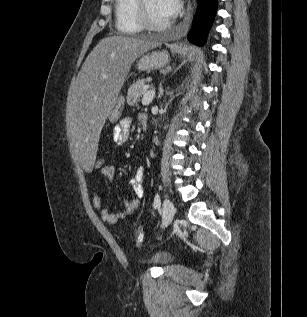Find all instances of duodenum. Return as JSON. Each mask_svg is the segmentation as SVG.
I'll list each match as a JSON object with an SVG mask.
<instances>
[{"instance_id":"duodenum-1","label":"duodenum","mask_w":307,"mask_h":317,"mask_svg":"<svg viewBox=\"0 0 307 317\" xmlns=\"http://www.w3.org/2000/svg\"><path fill=\"white\" fill-rule=\"evenodd\" d=\"M140 122H141L142 128L146 130L148 128V120L145 115L141 117Z\"/></svg>"}]
</instances>
